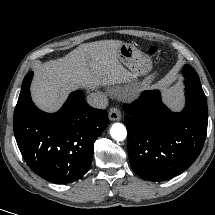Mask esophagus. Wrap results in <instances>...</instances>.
<instances>
[{"label": "esophagus", "mask_w": 215, "mask_h": 215, "mask_svg": "<svg viewBox=\"0 0 215 215\" xmlns=\"http://www.w3.org/2000/svg\"><path fill=\"white\" fill-rule=\"evenodd\" d=\"M109 119L111 121H119L121 119V112L118 108L113 107L109 111Z\"/></svg>", "instance_id": "esophagus-1"}]
</instances>
